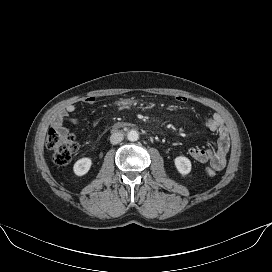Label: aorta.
I'll return each instance as SVG.
<instances>
[{"label":"aorta","instance_id":"762f6f07","mask_svg":"<svg viewBox=\"0 0 272 272\" xmlns=\"http://www.w3.org/2000/svg\"><path fill=\"white\" fill-rule=\"evenodd\" d=\"M127 138L129 141H137L139 139V134L136 130H130L128 132Z\"/></svg>","mask_w":272,"mask_h":272}]
</instances>
